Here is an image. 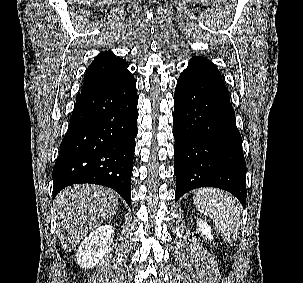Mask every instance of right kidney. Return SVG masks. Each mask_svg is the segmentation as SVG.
<instances>
[{
    "instance_id": "1",
    "label": "right kidney",
    "mask_w": 303,
    "mask_h": 283,
    "mask_svg": "<svg viewBox=\"0 0 303 283\" xmlns=\"http://www.w3.org/2000/svg\"><path fill=\"white\" fill-rule=\"evenodd\" d=\"M114 229L103 225L91 232L81 243L77 252V263L82 268H92L99 263L113 241Z\"/></svg>"
}]
</instances>
